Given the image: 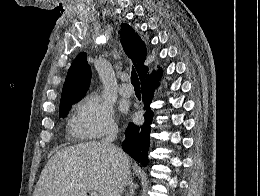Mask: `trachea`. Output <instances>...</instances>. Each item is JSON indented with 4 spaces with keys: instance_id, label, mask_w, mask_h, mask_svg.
Returning <instances> with one entry per match:
<instances>
[{
    "instance_id": "trachea-1",
    "label": "trachea",
    "mask_w": 260,
    "mask_h": 196,
    "mask_svg": "<svg viewBox=\"0 0 260 196\" xmlns=\"http://www.w3.org/2000/svg\"><path fill=\"white\" fill-rule=\"evenodd\" d=\"M131 83H132L133 86L140 87V81H139L138 75H137L134 67H132Z\"/></svg>"
}]
</instances>
